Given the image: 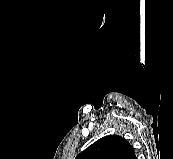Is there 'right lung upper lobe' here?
<instances>
[{
  "mask_svg": "<svg viewBox=\"0 0 173 159\" xmlns=\"http://www.w3.org/2000/svg\"><path fill=\"white\" fill-rule=\"evenodd\" d=\"M76 159H137L134 148L118 135L105 136L76 156Z\"/></svg>",
  "mask_w": 173,
  "mask_h": 159,
  "instance_id": "1",
  "label": "right lung upper lobe"
}]
</instances>
